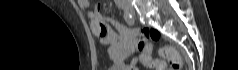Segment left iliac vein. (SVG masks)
<instances>
[{
	"mask_svg": "<svg viewBox=\"0 0 238 70\" xmlns=\"http://www.w3.org/2000/svg\"><path fill=\"white\" fill-rule=\"evenodd\" d=\"M130 13L134 14V10L132 8H130Z\"/></svg>",
	"mask_w": 238,
	"mask_h": 70,
	"instance_id": "obj_1",
	"label": "left iliac vein"
}]
</instances>
